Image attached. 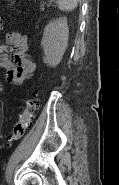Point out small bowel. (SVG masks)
<instances>
[{"label":"small bowel","mask_w":119,"mask_h":185,"mask_svg":"<svg viewBox=\"0 0 119 185\" xmlns=\"http://www.w3.org/2000/svg\"><path fill=\"white\" fill-rule=\"evenodd\" d=\"M0 67L6 71V80L11 84L20 85L32 76L36 65L28 53L26 36L17 31L6 34L5 44L0 47Z\"/></svg>","instance_id":"c3829d8e"}]
</instances>
